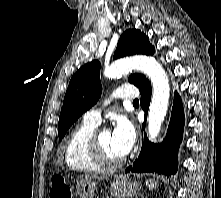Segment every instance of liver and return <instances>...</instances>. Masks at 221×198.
<instances>
[{
  "label": "liver",
  "mask_w": 221,
  "mask_h": 198,
  "mask_svg": "<svg viewBox=\"0 0 221 198\" xmlns=\"http://www.w3.org/2000/svg\"><path fill=\"white\" fill-rule=\"evenodd\" d=\"M79 177L84 179V180H92V178H94L93 176H89V175H81Z\"/></svg>",
  "instance_id": "liver-1"
}]
</instances>
